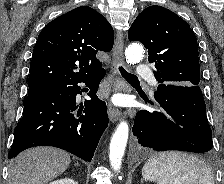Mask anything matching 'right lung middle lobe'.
<instances>
[{"label":"right lung middle lobe","mask_w":224,"mask_h":184,"mask_svg":"<svg viewBox=\"0 0 224 184\" xmlns=\"http://www.w3.org/2000/svg\"><path fill=\"white\" fill-rule=\"evenodd\" d=\"M41 88H43V87H29V92H33V91H36Z\"/></svg>","instance_id":"1"}]
</instances>
